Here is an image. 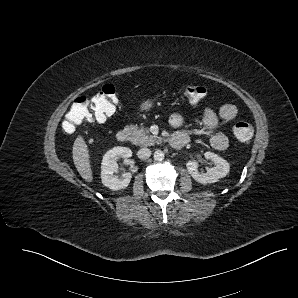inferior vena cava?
<instances>
[{"label":"inferior vena cava","mask_w":298,"mask_h":298,"mask_svg":"<svg viewBox=\"0 0 298 298\" xmlns=\"http://www.w3.org/2000/svg\"><path fill=\"white\" fill-rule=\"evenodd\" d=\"M137 156L139 159H143L146 160L151 156V150L148 148H141L138 152H137Z\"/></svg>","instance_id":"602c4592"}]
</instances>
